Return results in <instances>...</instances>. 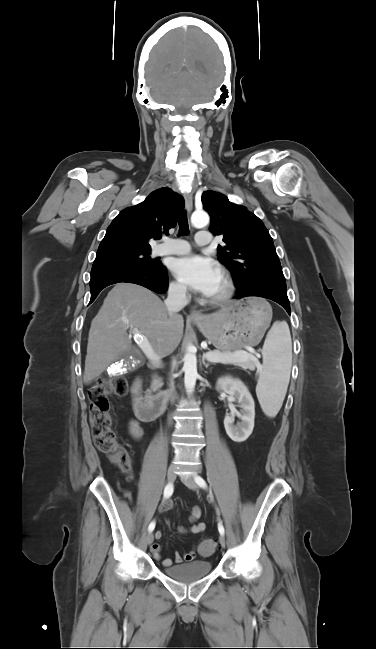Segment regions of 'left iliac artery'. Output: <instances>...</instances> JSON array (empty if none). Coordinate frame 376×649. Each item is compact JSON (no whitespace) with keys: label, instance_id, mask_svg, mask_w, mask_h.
<instances>
[{"label":"left iliac artery","instance_id":"obj_1","mask_svg":"<svg viewBox=\"0 0 376 649\" xmlns=\"http://www.w3.org/2000/svg\"><path fill=\"white\" fill-rule=\"evenodd\" d=\"M194 479H195V482H196V483H197L201 488H203V489H206V488H207V484H206L205 480H204L202 477H200V476H195ZM218 530H219V533H220V534H222V535L224 534V527H223L221 521H219V523H218Z\"/></svg>","mask_w":376,"mask_h":649}]
</instances>
